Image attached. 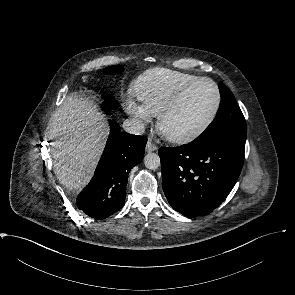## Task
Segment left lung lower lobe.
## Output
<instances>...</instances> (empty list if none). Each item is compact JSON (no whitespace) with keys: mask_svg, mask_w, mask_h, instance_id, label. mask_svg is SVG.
I'll list each match as a JSON object with an SVG mask.
<instances>
[{"mask_svg":"<svg viewBox=\"0 0 295 295\" xmlns=\"http://www.w3.org/2000/svg\"><path fill=\"white\" fill-rule=\"evenodd\" d=\"M245 146L213 139L179 147H161L166 198L187 217L207 215L229 195L241 172Z\"/></svg>","mask_w":295,"mask_h":295,"instance_id":"1","label":"left lung lower lobe"}]
</instances>
